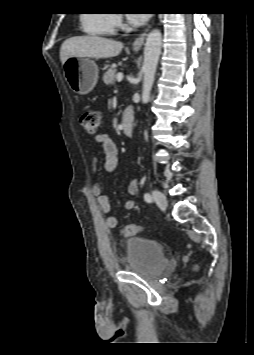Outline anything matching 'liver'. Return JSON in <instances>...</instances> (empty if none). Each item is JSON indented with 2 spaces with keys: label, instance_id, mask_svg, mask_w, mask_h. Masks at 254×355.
<instances>
[{
  "label": "liver",
  "instance_id": "obj_1",
  "mask_svg": "<svg viewBox=\"0 0 254 355\" xmlns=\"http://www.w3.org/2000/svg\"><path fill=\"white\" fill-rule=\"evenodd\" d=\"M123 43L99 36H76L63 42L60 49L62 64L71 57L109 58L120 54Z\"/></svg>",
  "mask_w": 254,
  "mask_h": 355
}]
</instances>
